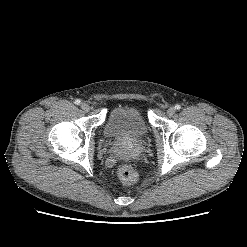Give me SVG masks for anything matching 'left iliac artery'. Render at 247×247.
<instances>
[{"label":"left iliac artery","instance_id":"left-iliac-artery-1","mask_svg":"<svg viewBox=\"0 0 247 247\" xmlns=\"http://www.w3.org/2000/svg\"><path fill=\"white\" fill-rule=\"evenodd\" d=\"M175 108H176L177 110H179V109L181 108V106L177 104V105L175 106Z\"/></svg>","mask_w":247,"mask_h":247}]
</instances>
